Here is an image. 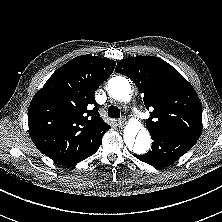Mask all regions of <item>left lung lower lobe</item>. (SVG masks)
<instances>
[{
    "label": "left lung lower lobe",
    "mask_w": 222,
    "mask_h": 222,
    "mask_svg": "<svg viewBox=\"0 0 222 222\" xmlns=\"http://www.w3.org/2000/svg\"><path fill=\"white\" fill-rule=\"evenodd\" d=\"M152 150L144 155L134 156L154 167L167 166L185 154L198 139L169 131H150Z\"/></svg>",
    "instance_id": "1"
}]
</instances>
